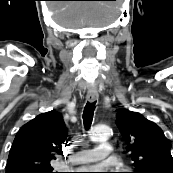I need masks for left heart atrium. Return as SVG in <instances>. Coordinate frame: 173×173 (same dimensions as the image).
<instances>
[{
	"mask_svg": "<svg viewBox=\"0 0 173 173\" xmlns=\"http://www.w3.org/2000/svg\"><path fill=\"white\" fill-rule=\"evenodd\" d=\"M84 172L87 173H106V171L109 170V167L105 165H98V166H92V167H85Z\"/></svg>",
	"mask_w": 173,
	"mask_h": 173,
	"instance_id": "1",
	"label": "left heart atrium"
}]
</instances>
